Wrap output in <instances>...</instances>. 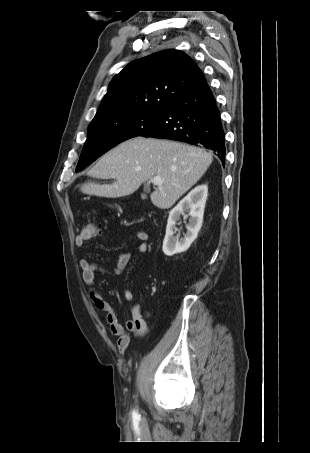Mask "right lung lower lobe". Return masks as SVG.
I'll return each instance as SVG.
<instances>
[{"instance_id":"98d812e1","label":"right lung lower lobe","mask_w":310,"mask_h":453,"mask_svg":"<svg viewBox=\"0 0 310 453\" xmlns=\"http://www.w3.org/2000/svg\"><path fill=\"white\" fill-rule=\"evenodd\" d=\"M139 136L171 139L203 146L225 159V134L215 98L205 79L171 103Z\"/></svg>"}]
</instances>
